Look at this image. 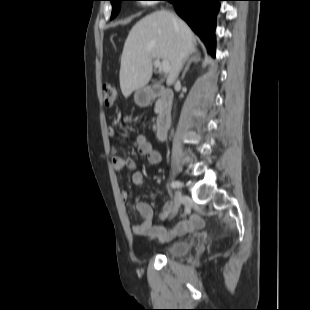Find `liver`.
Returning a JSON list of instances; mask_svg holds the SVG:
<instances>
[{
	"instance_id": "6515ba94",
	"label": "liver",
	"mask_w": 310,
	"mask_h": 310,
	"mask_svg": "<svg viewBox=\"0 0 310 310\" xmlns=\"http://www.w3.org/2000/svg\"><path fill=\"white\" fill-rule=\"evenodd\" d=\"M194 34L182 20L165 10L156 11L137 22L125 41L119 73L125 98L147 85L152 77L153 59L170 65L166 84L172 85L186 58L195 51Z\"/></svg>"
}]
</instances>
